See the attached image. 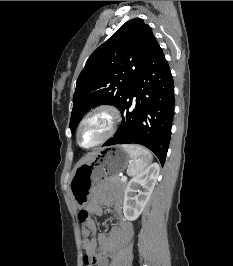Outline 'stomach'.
Returning <instances> with one entry per match:
<instances>
[{"instance_id":"stomach-1","label":"stomach","mask_w":233,"mask_h":266,"mask_svg":"<svg viewBox=\"0 0 233 266\" xmlns=\"http://www.w3.org/2000/svg\"><path fill=\"white\" fill-rule=\"evenodd\" d=\"M129 153L120 145L100 147V151L91 156V161L76 167L69 183L72 197L79 208L86 205L89 194L101 180H111L130 164Z\"/></svg>"}]
</instances>
